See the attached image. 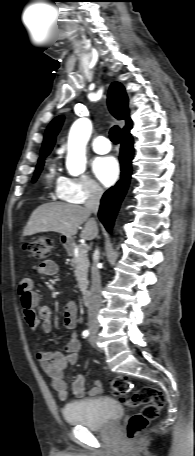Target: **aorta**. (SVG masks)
Here are the masks:
<instances>
[{
  "mask_svg": "<svg viewBox=\"0 0 195 456\" xmlns=\"http://www.w3.org/2000/svg\"><path fill=\"white\" fill-rule=\"evenodd\" d=\"M92 123L87 118H80L72 125L68 137L66 168L70 175L78 176L86 169V145L90 139Z\"/></svg>",
  "mask_w": 195,
  "mask_h": 456,
  "instance_id": "1",
  "label": "aorta"
}]
</instances>
